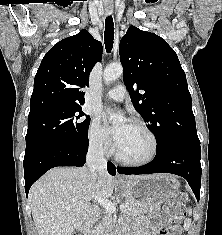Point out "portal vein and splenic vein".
<instances>
[{"label": "portal vein and splenic vein", "instance_id": "18ae733b", "mask_svg": "<svg viewBox=\"0 0 222 235\" xmlns=\"http://www.w3.org/2000/svg\"><path fill=\"white\" fill-rule=\"evenodd\" d=\"M95 200L105 208L106 212L114 213L116 211L115 204L113 202L109 201L108 199L101 198V197H95ZM120 209L124 210L125 205H120Z\"/></svg>", "mask_w": 222, "mask_h": 235}]
</instances>
